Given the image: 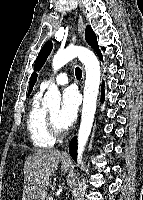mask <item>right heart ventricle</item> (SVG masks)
<instances>
[{"mask_svg": "<svg viewBox=\"0 0 143 200\" xmlns=\"http://www.w3.org/2000/svg\"><path fill=\"white\" fill-rule=\"evenodd\" d=\"M43 91L40 89L33 96L26 119L29 139L36 148H50L55 143L46 126L47 110L42 102Z\"/></svg>", "mask_w": 143, "mask_h": 200, "instance_id": "e07e8e85", "label": "right heart ventricle"}]
</instances>
